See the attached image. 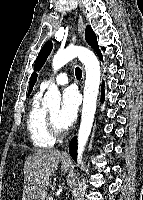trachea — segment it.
Wrapping results in <instances>:
<instances>
[{"mask_svg":"<svg viewBox=\"0 0 143 200\" xmlns=\"http://www.w3.org/2000/svg\"><path fill=\"white\" fill-rule=\"evenodd\" d=\"M75 75H76V78H77L78 80L81 79V77H82V71H81V69H80L79 67H76V68H75Z\"/></svg>","mask_w":143,"mask_h":200,"instance_id":"trachea-1","label":"trachea"}]
</instances>
